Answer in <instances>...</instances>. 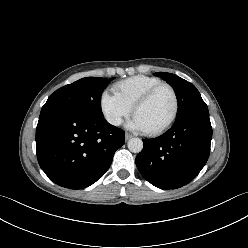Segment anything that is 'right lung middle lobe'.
<instances>
[{"instance_id": "obj_1", "label": "right lung middle lobe", "mask_w": 248, "mask_h": 248, "mask_svg": "<svg viewBox=\"0 0 248 248\" xmlns=\"http://www.w3.org/2000/svg\"><path fill=\"white\" fill-rule=\"evenodd\" d=\"M110 81L100 77H86L61 87L48 98L41 111L65 107L103 117L100 97Z\"/></svg>"}]
</instances>
